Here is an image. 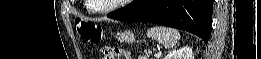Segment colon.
<instances>
[{
    "mask_svg": "<svg viewBox=\"0 0 261 59\" xmlns=\"http://www.w3.org/2000/svg\"><path fill=\"white\" fill-rule=\"evenodd\" d=\"M76 28L80 36L87 42L99 44L103 38L102 27L95 22L76 21ZM102 59H117L126 57L129 53L119 47H103Z\"/></svg>",
    "mask_w": 261,
    "mask_h": 59,
    "instance_id": "colon-1",
    "label": "colon"
}]
</instances>
